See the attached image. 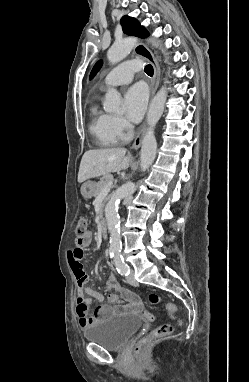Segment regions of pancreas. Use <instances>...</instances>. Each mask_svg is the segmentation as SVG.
Returning <instances> with one entry per match:
<instances>
[{
  "instance_id": "cf45deb5",
  "label": "pancreas",
  "mask_w": 249,
  "mask_h": 382,
  "mask_svg": "<svg viewBox=\"0 0 249 382\" xmlns=\"http://www.w3.org/2000/svg\"><path fill=\"white\" fill-rule=\"evenodd\" d=\"M110 181H113V176L110 173L105 174L97 183L95 195H98ZM100 216H102V210Z\"/></svg>"
}]
</instances>
